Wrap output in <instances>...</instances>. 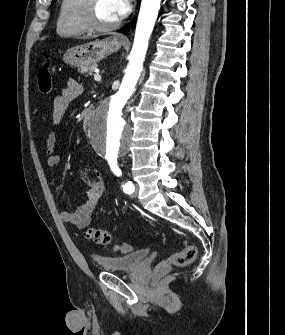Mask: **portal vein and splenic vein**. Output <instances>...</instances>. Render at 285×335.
Returning a JSON list of instances; mask_svg holds the SVG:
<instances>
[{
	"label": "portal vein and splenic vein",
	"mask_w": 285,
	"mask_h": 335,
	"mask_svg": "<svg viewBox=\"0 0 285 335\" xmlns=\"http://www.w3.org/2000/svg\"><path fill=\"white\" fill-rule=\"evenodd\" d=\"M95 72H96V74L94 76L95 82H101L102 78H101V76H99V70H97V68H96Z\"/></svg>",
	"instance_id": "portal-vein-and-splenic-vein-1"
}]
</instances>
